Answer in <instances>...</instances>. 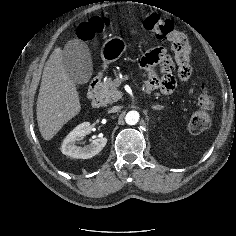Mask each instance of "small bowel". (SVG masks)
Listing matches in <instances>:
<instances>
[{"instance_id":"obj_1","label":"small bowel","mask_w":236,"mask_h":236,"mask_svg":"<svg viewBox=\"0 0 236 236\" xmlns=\"http://www.w3.org/2000/svg\"><path fill=\"white\" fill-rule=\"evenodd\" d=\"M190 56V45L183 54L176 53L175 62L163 47H157L147 52L140 61L141 68L148 75L144 86L145 91L159 90L163 94L172 93L177 85L174 75L176 66L180 81H187L191 76ZM157 66L159 67V75L155 72Z\"/></svg>"}]
</instances>
